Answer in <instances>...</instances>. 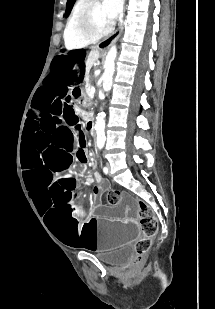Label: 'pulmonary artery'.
Returning <instances> with one entry per match:
<instances>
[{
  "instance_id": "e3ab8cb5",
  "label": "pulmonary artery",
  "mask_w": 215,
  "mask_h": 309,
  "mask_svg": "<svg viewBox=\"0 0 215 309\" xmlns=\"http://www.w3.org/2000/svg\"><path fill=\"white\" fill-rule=\"evenodd\" d=\"M79 6H82V3H79Z\"/></svg>"
}]
</instances>
